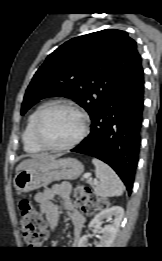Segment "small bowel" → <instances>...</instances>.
I'll return each mask as SVG.
<instances>
[{"mask_svg": "<svg viewBox=\"0 0 162 261\" xmlns=\"http://www.w3.org/2000/svg\"><path fill=\"white\" fill-rule=\"evenodd\" d=\"M70 193L71 185L68 182H62L54 184L35 195V201L45 215L50 231H54L58 224L59 203L57 199H60L65 209L71 213L74 233L76 235L80 234L85 217L75 209Z\"/></svg>", "mask_w": 162, "mask_h": 261, "instance_id": "1", "label": "small bowel"}]
</instances>
